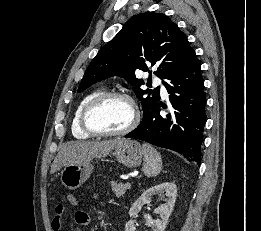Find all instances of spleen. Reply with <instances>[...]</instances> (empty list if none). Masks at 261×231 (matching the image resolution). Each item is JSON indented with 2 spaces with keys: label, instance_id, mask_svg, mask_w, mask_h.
I'll use <instances>...</instances> for the list:
<instances>
[{
  "label": "spleen",
  "instance_id": "3e777b00",
  "mask_svg": "<svg viewBox=\"0 0 261 231\" xmlns=\"http://www.w3.org/2000/svg\"><path fill=\"white\" fill-rule=\"evenodd\" d=\"M144 153V164L142 170L147 177L157 176L162 169V158L160 153L148 144L142 145Z\"/></svg>",
  "mask_w": 261,
  "mask_h": 231
}]
</instances>
